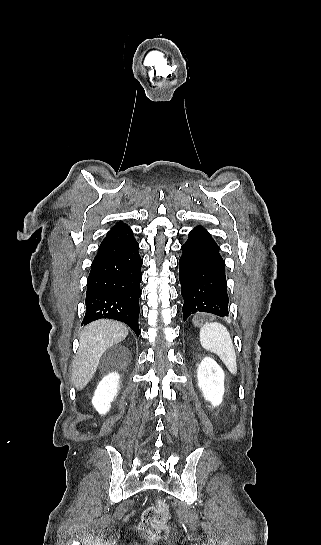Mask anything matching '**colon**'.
Instances as JSON below:
<instances>
[{
    "instance_id": "colon-1",
    "label": "colon",
    "mask_w": 321,
    "mask_h": 545,
    "mask_svg": "<svg viewBox=\"0 0 321 545\" xmlns=\"http://www.w3.org/2000/svg\"><path fill=\"white\" fill-rule=\"evenodd\" d=\"M169 517L167 504L159 500L154 505L146 508L142 514L139 526L140 532L147 538L159 540L166 536V521Z\"/></svg>"
}]
</instances>
